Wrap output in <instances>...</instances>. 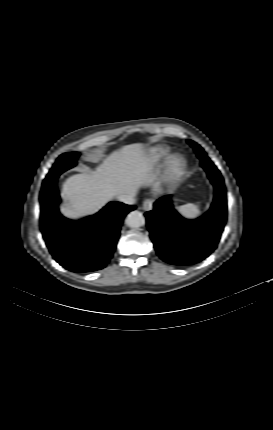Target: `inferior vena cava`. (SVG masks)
<instances>
[{
	"label": "inferior vena cava",
	"instance_id": "obj_1",
	"mask_svg": "<svg viewBox=\"0 0 273 430\" xmlns=\"http://www.w3.org/2000/svg\"><path fill=\"white\" fill-rule=\"evenodd\" d=\"M135 196H136V193H129V194L118 195L117 198L120 202H123L128 205H133L135 203Z\"/></svg>",
	"mask_w": 273,
	"mask_h": 430
}]
</instances>
